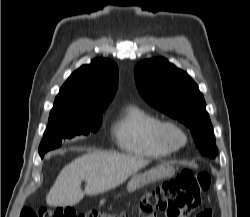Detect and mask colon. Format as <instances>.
I'll list each match as a JSON object with an SVG mask.
<instances>
[{"label":"colon","mask_w":250,"mask_h":217,"mask_svg":"<svg viewBox=\"0 0 250 217\" xmlns=\"http://www.w3.org/2000/svg\"><path fill=\"white\" fill-rule=\"evenodd\" d=\"M210 176L206 172L183 170L175 178L165 181L141 196L137 210L151 213L154 210L165 212L167 217H179L189 209L199 207L202 194L210 186ZM211 217V210L202 209L200 215ZM20 217H114L112 214L98 210L76 214L69 208H52L34 211L23 208Z\"/></svg>","instance_id":"obj_1"}]
</instances>
